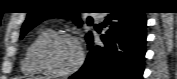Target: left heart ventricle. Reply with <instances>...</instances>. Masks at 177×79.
<instances>
[{
    "mask_svg": "<svg viewBox=\"0 0 177 79\" xmlns=\"http://www.w3.org/2000/svg\"><path fill=\"white\" fill-rule=\"evenodd\" d=\"M41 57L43 63L52 70L65 71L76 64L79 52L72 41L56 40L44 47Z\"/></svg>",
    "mask_w": 177,
    "mask_h": 79,
    "instance_id": "left-heart-ventricle-1",
    "label": "left heart ventricle"
}]
</instances>
